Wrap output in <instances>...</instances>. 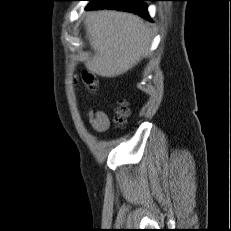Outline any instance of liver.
Wrapping results in <instances>:
<instances>
[{
  "label": "liver",
  "mask_w": 231,
  "mask_h": 231,
  "mask_svg": "<svg viewBox=\"0 0 231 231\" xmlns=\"http://www.w3.org/2000/svg\"><path fill=\"white\" fill-rule=\"evenodd\" d=\"M87 20L93 59L86 67L102 77H116L133 68L147 53L150 29L143 19L119 11H92Z\"/></svg>",
  "instance_id": "obj_1"
}]
</instances>
